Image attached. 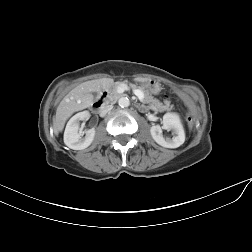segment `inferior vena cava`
Listing matches in <instances>:
<instances>
[{
  "label": "inferior vena cava",
  "instance_id": "602c4592",
  "mask_svg": "<svg viewBox=\"0 0 252 252\" xmlns=\"http://www.w3.org/2000/svg\"><path fill=\"white\" fill-rule=\"evenodd\" d=\"M113 108L112 105H106L104 107H102V109L100 110V115L101 116H105L109 111H111Z\"/></svg>",
  "mask_w": 252,
  "mask_h": 252
}]
</instances>
